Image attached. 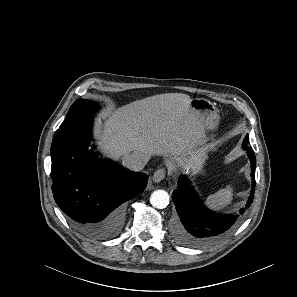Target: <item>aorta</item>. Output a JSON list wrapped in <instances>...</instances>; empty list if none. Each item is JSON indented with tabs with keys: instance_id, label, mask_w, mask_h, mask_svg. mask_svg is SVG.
Segmentation results:
<instances>
[{
	"instance_id": "obj_1",
	"label": "aorta",
	"mask_w": 297,
	"mask_h": 297,
	"mask_svg": "<svg viewBox=\"0 0 297 297\" xmlns=\"http://www.w3.org/2000/svg\"><path fill=\"white\" fill-rule=\"evenodd\" d=\"M150 203L158 209L166 208L169 204V194L164 190H156L151 194Z\"/></svg>"
}]
</instances>
